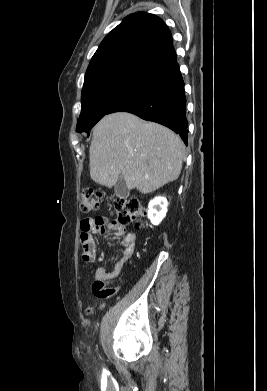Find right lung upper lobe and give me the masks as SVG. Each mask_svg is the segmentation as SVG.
<instances>
[{
    "label": "right lung upper lobe",
    "instance_id": "right-lung-upper-lobe-1",
    "mask_svg": "<svg viewBox=\"0 0 267 391\" xmlns=\"http://www.w3.org/2000/svg\"><path fill=\"white\" fill-rule=\"evenodd\" d=\"M176 60L171 33L162 19L137 12L127 16L103 39L89 63L84 83L121 71L151 75Z\"/></svg>",
    "mask_w": 267,
    "mask_h": 391
}]
</instances>
